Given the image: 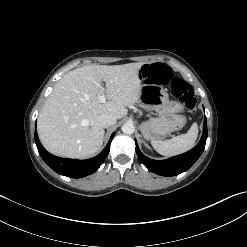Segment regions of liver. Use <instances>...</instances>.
<instances>
[{
    "label": "liver",
    "mask_w": 247,
    "mask_h": 247,
    "mask_svg": "<svg viewBox=\"0 0 247 247\" xmlns=\"http://www.w3.org/2000/svg\"><path fill=\"white\" fill-rule=\"evenodd\" d=\"M142 65H88L68 72L58 81L38 117L37 131L45 149L68 158L95 155L104 138L98 117L107 113L121 119L127 115L128 106L140 102ZM102 94L107 98L104 103L99 102Z\"/></svg>",
    "instance_id": "liver-1"
}]
</instances>
